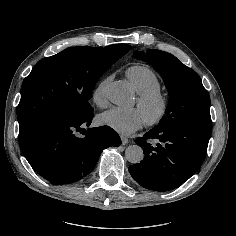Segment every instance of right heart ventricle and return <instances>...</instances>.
<instances>
[{"label":"right heart ventricle","mask_w":236,"mask_h":236,"mask_svg":"<svg viewBox=\"0 0 236 236\" xmlns=\"http://www.w3.org/2000/svg\"><path fill=\"white\" fill-rule=\"evenodd\" d=\"M126 76L139 95L155 93L161 89L157 74L145 65H133L127 68Z\"/></svg>","instance_id":"right-heart-ventricle-1"}]
</instances>
